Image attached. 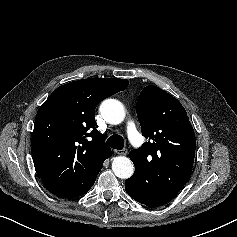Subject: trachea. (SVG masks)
Returning <instances> with one entry per match:
<instances>
[{
	"instance_id": "1",
	"label": "trachea",
	"mask_w": 237,
	"mask_h": 237,
	"mask_svg": "<svg viewBox=\"0 0 237 237\" xmlns=\"http://www.w3.org/2000/svg\"><path fill=\"white\" fill-rule=\"evenodd\" d=\"M106 144L113 149L122 150L124 147V139L122 136L115 134L108 138Z\"/></svg>"
}]
</instances>
